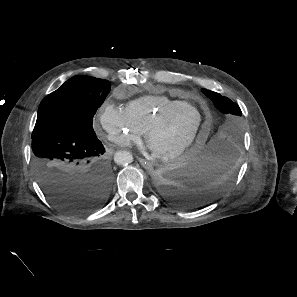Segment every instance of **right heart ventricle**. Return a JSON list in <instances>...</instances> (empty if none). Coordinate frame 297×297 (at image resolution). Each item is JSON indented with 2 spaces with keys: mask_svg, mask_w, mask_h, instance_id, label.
Instances as JSON below:
<instances>
[{
  "mask_svg": "<svg viewBox=\"0 0 297 297\" xmlns=\"http://www.w3.org/2000/svg\"><path fill=\"white\" fill-rule=\"evenodd\" d=\"M187 104L186 101L171 99L165 95H145L129 102L125 111L141 132L162 112Z\"/></svg>",
  "mask_w": 297,
  "mask_h": 297,
  "instance_id": "1",
  "label": "right heart ventricle"
}]
</instances>
